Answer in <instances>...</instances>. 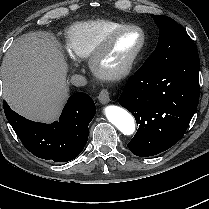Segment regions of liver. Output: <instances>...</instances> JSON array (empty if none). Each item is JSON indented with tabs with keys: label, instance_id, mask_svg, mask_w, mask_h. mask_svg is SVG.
Instances as JSON below:
<instances>
[{
	"label": "liver",
	"instance_id": "1",
	"mask_svg": "<svg viewBox=\"0 0 209 209\" xmlns=\"http://www.w3.org/2000/svg\"><path fill=\"white\" fill-rule=\"evenodd\" d=\"M67 70L53 37L41 32L24 34L14 40L2 61L3 97L19 114L51 122L68 97Z\"/></svg>",
	"mask_w": 209,
	"mask_h": 209
}]
</instances>
